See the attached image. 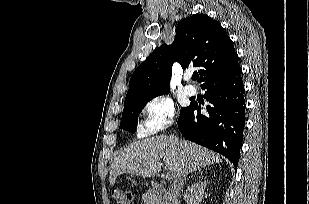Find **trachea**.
Wrapping results in <instances>:
<instances>
[{"label":"trachea","mask_w":309,"mask_h":204,"mask_svg":"<svg viewBox=\"0 0 309 204\" xmlns=\"http://www.w3.org/2000/svg\"><path fill=\"white\" fill-rule=\"evenodd\" d=\"M199 78V75L198 74H193V76H192V79L193 80H196V79H198Z\"/></svg>","instance_id":"trachea-1"}]
</instances>
